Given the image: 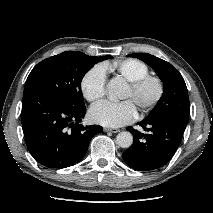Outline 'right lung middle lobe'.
Wrapping results in <instances>:
<instances>
[{"mask_svg":"<svg viewBox=\"0 0 213 213\" xmlns=\"http://www.w3.org/2000/svg\"><path fill=\"white\" fill-rule=\"evenodd\" d=\"M110 56L91 57L79 51H66L44 59L30 72L24 93L39 91L72 110L85 108L81 92L84 73Z\"/></svg>","mask_w":213,"mask_h":213,"instance_id":"right-lung-middle-lobe-1","label":"right lung middle lobe"}]
</instances>
